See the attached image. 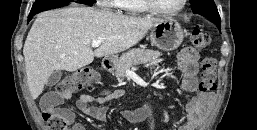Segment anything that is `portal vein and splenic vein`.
<instances>
[{"label": "portal vein and splenic vein", "mask_w": 257, "mask_h": 130, "mask_svg": "<svg viewBox=\"0 0 257 130\" xmlns=\"http://www.w3.org/2000/svg\"><path fill=\"white\" fill-rule=\"evenodd\" d=\"M103 42V40H94L91 43V47L97 48L100 46V44ZM127 73H130V70H127Z\"/></svg>", "instance_id": "1"}]
</instances>
